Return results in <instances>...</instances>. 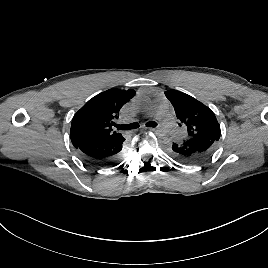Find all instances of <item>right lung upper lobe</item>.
<instances>
[{
	"mask_svg": "<svg viewBox=\"0 0 268 268\" xmlns=\"http://www.w3.org/2000/svg\"><path fill=\"white\" fill-rule=\"evenodd\" d=\"M135 91L112 88L91 98L73 117L70 137L74 147L84 143L114 141L122 134L112 129L121 107Z\"/></svg>",
	"mask_w": 268,
	"mask_h": 268,
	"instance_id": "obj_1",
	"label": "right lung upper lobe"
}]
</instances>
